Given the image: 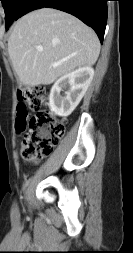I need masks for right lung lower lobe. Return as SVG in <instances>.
I'll use <instances>...</instances> for the list:
<instances>
[{
    "label": "right lung lower lobe",
    "mask_w": 133,
    "mask_h": 253,
    "mask_svg": "<svg viewBox=\"0 0 133 253\" xmlns=\"http://www.w3.org/2000/svg\"><path fill=\"white\" fill-rule=\"evenodd\" d=\"M108 0H24L16 20L35 9L47 7L70 13L94 29L103 42Z\"/></svg>",
    "instance_id": "1"
}]
</instances>
